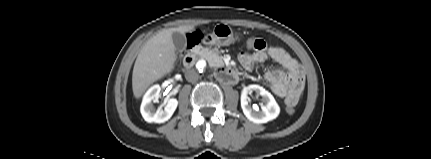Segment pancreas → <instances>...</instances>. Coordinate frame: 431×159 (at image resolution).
<instances>
[{
  "label": "pancreas",
  "instance_id": "cf45deb5",
  "mask_svg": "<svg viewBox=\"0 0 431 159\" xmlns=\"http://www.w3.org/2000/svg\"><path fill=\"white\" fill-rule=\"evenodd\" d=\"M199 55L201 58L207 60L211 66L216 67L222 64V57L219 55V51L217 50L202 48L199 51Z\"/></svg>",
  "mask_w": 431,
  "mask_h": 159
}]
</instances>
